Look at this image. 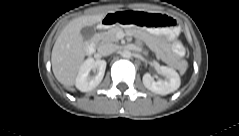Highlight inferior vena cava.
<instances>
[{
    "label": "inferior vena cava",
    "mask_w": 239,
    "mask_h": 136,
    "mask_svg": "<svg viewBox=\"0 0 239 136\" xmlns=\"http://www.w3.org/2000/svg\"><path fill=\"white\" fill-rule=\"evenodd\" d=\"M117 50V45L113 43H103L99 46L98 52L102 56H108Z\"/></svg>",
    "instance_id": "602c4592"
}]
</instances>
